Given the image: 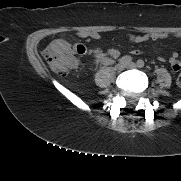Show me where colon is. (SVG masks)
<instances>
[{
	"instance_id": "obj_1",
	"label": "colon",
	"mask_w": 181,
	"mask_h": 181,
	"mask_svg": "<svg viewBox=\"0 0 181 181\" xmlns=\"http://www.w3.org/2000/svg\"><path fill=\"white\" fill-rule=\"evenodd\" d=\"M85 50L81 44L74 45L72 48L50 46L44 51L43 56L55 73L64 76L75 67V56L84 54ZM177 84L181 87V72L177 77Z\"/></svg>"
}]
</instances>
